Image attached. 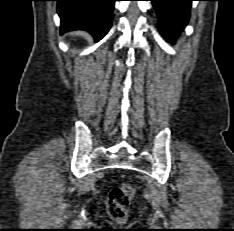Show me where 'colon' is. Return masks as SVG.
<instances>
[{
  "label": "colon",
  "instance_id": "5ec220e1",
  "mask_svg": "<svg viewBox=\"0 0 234 231\" xmlns=\"http://www.w3.org/2000/svg\"><path fill=\"white\" fill-rule=\"evenodd\" d=\"M133 196L134 190L129 184L112 188L106 201L108 215L117 222H125L127 219V206Z\"/></svg>",
  "mask_w": 234,
  "mask_h": 231
}]
</instances>
